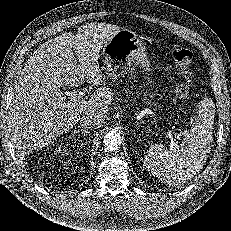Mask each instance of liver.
I'll list each match as a JSON object with an SVG mask.
<instances>
[{
	"instance_id": "liver-1",
	"label": "liver",
	"mask_w": 231,
	"mask_h": 231,
	"mask_svg": "<svg viewBox=\"0 0 231 231\" xmlns=\"http://www.w3.org/2000/svg\"><path fill=\"white\" fill-rule=\"evenodd\" d=\"M120 30L105 23L82 25L36 49L25 63L9 112L10 142L21 158L48 145L67 132L85 114H92L100 127L113 100V91L100 87L82 101H65L61 86L77 87L84 80L104 83L98 64L99 52ZM78 62L76 60V57Z\"/></svg>"
}]
</instances>
